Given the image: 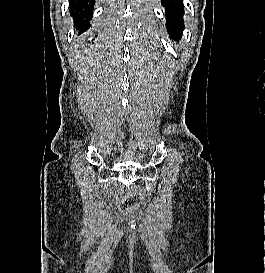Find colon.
Returning a JSON list of instances; mask_svg holds the SVG:
<instances>
[{
    "mask_svg": "<svg viewBox=\"0 0 265 273\" xmlns=\"http://www.w3.org/2000/svg\"><path fill=\"white\" fill-rule=\"evenodd\" d=\"M141 203V197L136 194L128 195L119 202V209L123 213H127Z\"/></svg>",
    "mask_w": 265,
    "mask_h": 273,
    "instance_id": "obj_1",
    "label": "colon"
}]
</instances>
